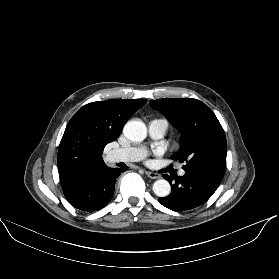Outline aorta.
<instances>
[{"mask_svg":"<svg viewBox=\"0 0 279 279\" xmlns=\"http://www.w3.org/2000/svg\"><path fill=\"white\" fill-rule=\"evenodd\" d=\"M124 135L131 141L140 142L146 138L147 129L145 124L140 120L128 121L123 129ZM171 186L165 179H159L153 184V192L158 197H166L170 194Z\"/></svg>","mask_w":279,"mask_h":279,"instance_id":"aorta-1","label":"aorta"}]
</instances>
